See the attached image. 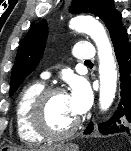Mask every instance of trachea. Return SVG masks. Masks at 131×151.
<instances>
[{"instance_id": "trachea-1", "label": "trachea", "mask_w": 131, "mask_h": 151, "mask_svg": "<svg viewBox=\"0 0 131 151\" xmlns=\"http://www.w3.org/2000/svg\"><path fill=\"white\" fill-rule=\"evenodd\" d=\"M85 63L87 64V63H91V61H85Z\"/></svg>"}]
</instances>
